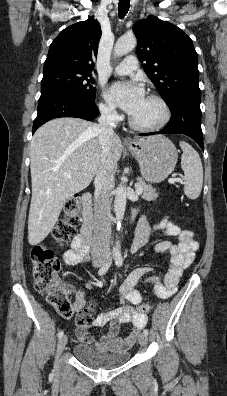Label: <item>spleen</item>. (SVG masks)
<instances>
[{"instance_id":"3e777b00","label":"spleen","mask_w":227,"mask_h":396,"mask_svg":"<svg viewBox=\"0 0 227 396\" xmlns=\"http://www.w3.org/2000/svg\"><path fill=\"white\" fill-rule=\"evenodd\" d=\"M183 150L181 168L184 171V192L190 199L199 197L203 184V167L199 154L187 142L180 141Z\"/></svg>"}]
</instances>
